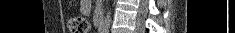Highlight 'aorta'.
Instances as JSON below:
<instances>
[{
  "label": "aorta",
  "instance_id": "aorta-1",
  "mask_svg": "<svg viewBox=\"0 0 235 33\" xmlns=\"http://www.w3.org/2000/svg\"><path fill=\"white\" fill-rule=\"evenodd\" d=\"M110 20H111V9L107 11V14H106V17H105L106 27H108Z\"/></svg>",
  "mask_w": 235,
  "mask_h": 33
}]
</instances>
